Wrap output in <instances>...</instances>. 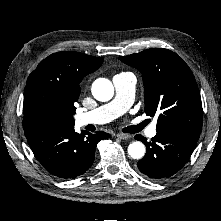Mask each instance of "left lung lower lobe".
<instances>
[{"label":"left lung lower lobe","instance_id":"1","mask_svg":"<svg viewBox=\"0 0 221 221\" xmlns=\"http://www.w3.org/2000/svg\"><path fill=\"white\" fill-rule=\"evenodd\" d=\"M200 134L180 129L157 131L152 142L141 135L137 140L145 143L147 152L138 163V169L153 179H163L178 172L190 158Z\"/></svg>","mask_w":221,"mask_h":221}]
</instances>
